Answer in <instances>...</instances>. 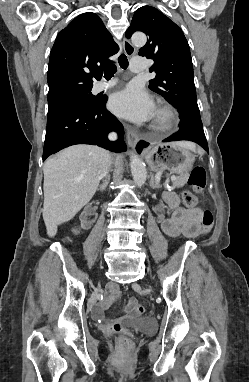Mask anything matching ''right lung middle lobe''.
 Returning a JSON list of instances; mask_svg holds the SVG:
<instances>
[{
  "label": "right lung middle lobe",
  "mask_w": 249,
  "mask_h": 382,
  "mask_svg": "<svg viewBox=\"0 0 249 382\" xmlns=\"http://www.w3.org/2000/svg\"><path fill=\"white\" fill-rule=\"evenodd\" d=\"M96 96L92 95L91 89L78 92L49 103L48 118H53L61 113L72 109H84L91 107L96 102Z\"/></svg>",
  "instance_id": "obj_1"
}]
</instances>
